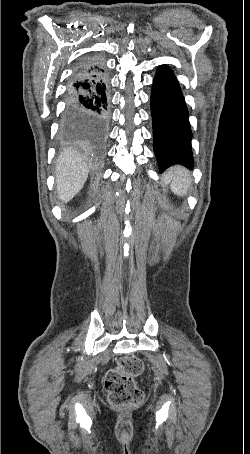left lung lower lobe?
Here are the masks:
<instances>
[{
    "instance_id": "left-lung-lower-lobe-1",
    "label": "left lung lower lobe",
    "mask_w": 250,
    "mask_h": 454,
    "mask_svg": "<svg viewBox=\"0 0 250 454\" xmlns=\"http://www.w3.org/2000/svg\"><path fill=\"white\" fill-rule=\"evenodd\" d=\"M150 106L160 173L175 164L193 169L188 109L178 81L167 66H160L155 75Z\"/></svg>"
}]
</instances>
